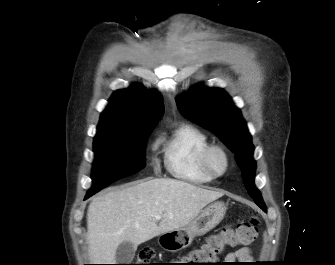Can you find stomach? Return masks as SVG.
I'll use <instances>...</instances> for the list:
<instances>
[{
    "instance_id": "1",
    "label": "stomach",
    "mask_w": 335,
    "mask_h": 265,
    "mask_svg": "<svg viewBox=\"0 0 335 265\" xmlns=\"http://www.w3.org/2000/svg\"><path fill=\"white\" fill-rule=\"evenodd\" d=\"M226 210L227 207L222 201L209 204L185 227L161 234L159 245L169 252L186 248L196 236H202L215 228L223 220Z\"/></svg>"
}]
</instances>
